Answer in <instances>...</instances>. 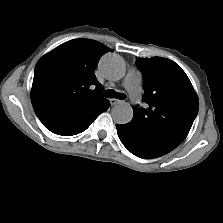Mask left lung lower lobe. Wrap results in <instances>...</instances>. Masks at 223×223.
Here are the masks:
<instances>
[{
	"mask_svg": "<svg viewBox=\"0 0 223 223\" xmlns=\"http://www.w3.org/2000/svg\"><path fill=\"white\" fill-rule=\"evenodd\" d=\"M118 136L123 145L134 155L143 158L151 159L162 156L169 149L153 144L147 140L141 139L138 131L134 129L130 123L125 125H116Z\"/></svg>",
	"mask_w": 223,
	"mask_h": 223,
	"instance_id": "1",
	"label": "left lung lower lobe"
}]
</instances>
